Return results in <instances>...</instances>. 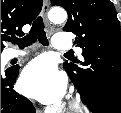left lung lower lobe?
<instances>
[{
	"label": "left lung lower lobe",
	"instance_id": "left-lung-lower-lobe-1",
	"mask_svg": "<svg viewBox=\"0 0 121 113\" xmlns=\"http://www.w3.org/2000/svg\"><path fill=\"white\" fill-rule=\"evenodd\" d=\"M91 113H121V98L96 86L78 90Z\"/></svg>",
	"mask_w": 121,
	"mask_h": 113
}]
</instances>
